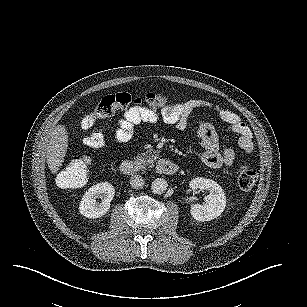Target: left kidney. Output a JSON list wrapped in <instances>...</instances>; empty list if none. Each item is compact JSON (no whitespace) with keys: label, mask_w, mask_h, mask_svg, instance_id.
Returning <instances> with one entry per match:
<instances>
[{"label":"left kidney","mask_w":307,"mask_h":307,"mask_svg":"<svg viewBox=\"0 0 307 307\" xmlns=\"http://www.w3.org/2000/svg\"><path fill=\"white\" fill-rule=\"evenodd\" d=\"M189 189L196 192L205 191V204L191 203L190 213L198 221H210L218 217L225 209L226 197L221 186L211 179L196 177L190 180Z\"/></svg>","instance_id":"left-kidney-1"}]
</instances>
